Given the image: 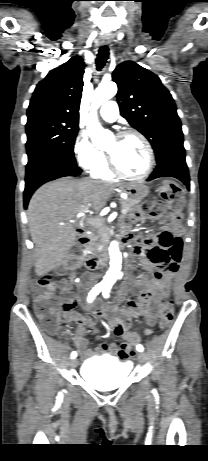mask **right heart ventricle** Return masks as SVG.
I'll return each mask as SVG.
<instances>
[{
	"label": "right heart ventricle",
	"mask_w": 208,
	"mask_h": 461,
	"mask_svg": "<svg viewBox=\"0 0 208 461\" xmlns=\"http://www.w3.org/2000/svg\"><path fill=\"white\" fill-rule=\"evenodd\" d=\"M91 175L94 178L102 180H112L114 174L109 170L106 156L101 153L98 163L91 169Z\"/></svg>",
	"instance_id": "obj_1"
}]
</instances>
